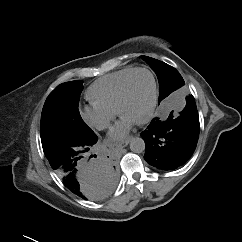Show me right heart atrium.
I'll return each instance as SVG.
<instances>
[{
  "mask_svg": "<svg viewBox=\"0 0 242 242\" xmlns=\"http://www.w3.org/2000/svg\"><path fill=\"white\" fill-rule=\"evenodd\" d=\"M79 115L88 126L96 130H105L115 118L116 112L113 109L90 103L79 109Z\"/></svg>",
  "mask_w": 242,
  "mask_h": 242,
  "instance_id": "1",
  "label": "right heart atrium"
}]
</instances>
